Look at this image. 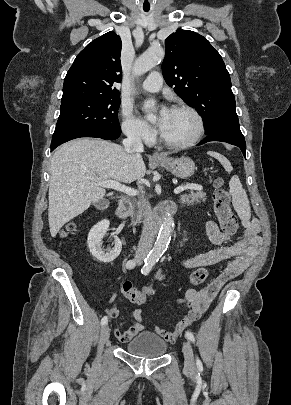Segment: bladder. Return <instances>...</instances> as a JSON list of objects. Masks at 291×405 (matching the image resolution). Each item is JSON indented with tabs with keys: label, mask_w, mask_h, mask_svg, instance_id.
Returning a JSON list of instances; mask_svg holds the SVG:
<instances>
[{
	"label": "bladder",
	"mask_w": 291,
	"mask_h": 405,
	"mask_svg": "<svg viewBox=\"0 0 291 405\" xmlns=\"http://www.w3.org/2000/svg\"><path fill=\"white\" fill-rule=\"evenodd\" d=\"M125 350L135 356L157 358L166 352L167 343L160 336L144 331L129 341Z\"/></svg>",
	"instance_id": "bladder-1"
}]
</instances>
